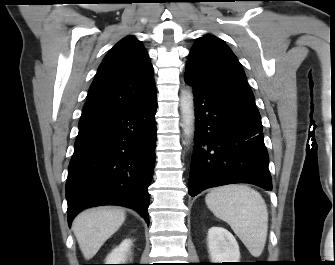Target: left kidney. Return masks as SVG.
<instances>
[{
  "mask_svg": "<svg viewBox=\"0 0 335 265\" xmlns=\"http://www.w3.org/2000/svg\"><path fill=\"white\" fill-rule=\"evenodd\" d=\"M207 241L212 263L239 262V245L235 237L225 228L211 227L208 230Z\"/></svg>",
  "mask_w": 335,
  "mask_h": 265,
  "instance_id": "obj_1",
  "label": "left kidney"
}]
</instances>
